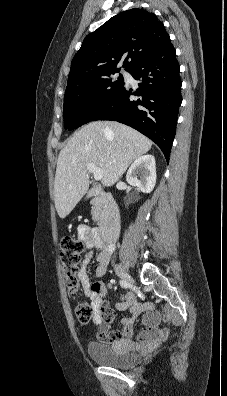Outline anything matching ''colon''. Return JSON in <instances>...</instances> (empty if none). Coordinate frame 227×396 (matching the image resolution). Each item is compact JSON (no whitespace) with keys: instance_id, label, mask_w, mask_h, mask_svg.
<instances>
[{"instance_id":"obj_1","label":"colon","mask_w":227,"mask_h":396,"mask_svg":"<svg viewBox=\"0 0 227 396\" xmlns=\"http://www.w3.org/2000/svg\"><path fill=\"white\" fill-rule=\"evenodd\" d=\"M83 251V243L72 237H65L61 241L60 260L66 278L67 288L71 293L79 290L80 282L77 277L78 266ZM93 307L85 302H79L75 307V314L81 323H88L93 318Z\"/></svg>"}]
</instances>
